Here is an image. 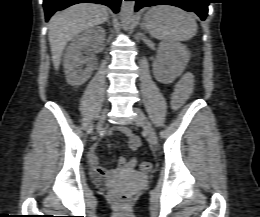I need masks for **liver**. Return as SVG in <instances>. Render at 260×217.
<instances>
[{
  "label": "liver",
  "instance_id": "1",
  "mask_svg": "<svg viewBox=\"0 0 260 217\" xmlns=\"http://www.w3.org/2000/svg\"><path fill=\"white\" fill-rule=\"evenodd\" d=\"M107 17L108 12L105 7L91 3L73 5L51 17L48 38L55 70L59 69L67 43L82 31L102 24Z\"/></svg>",
  "mask_w": 260,
  "mask_h": 217
}]
</instances>
